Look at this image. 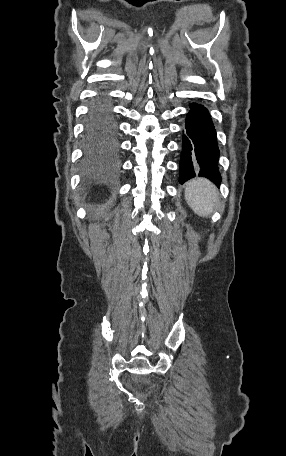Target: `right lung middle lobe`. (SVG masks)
Returning a JSON list of instances; mask_svg holds the SVG:
<instances>
[{
    "label": "right lung middle lobe",
    "mask_w": 286,
    "mask_h": 456,
    "mask_svg": "<svg viewBox=\"0 0 286 456\" xmlns=\"http://www.w3.org/2000/svg\"><path fill=\"white\" fill-rule=\"evenodd\" d=\"M112 123L96 115H91L88 119L87 133L92 139L103 137L108 131L113 132Z\"/></svg>",
    "instance_id": "dd1d6c3e"
}]
</instances>
